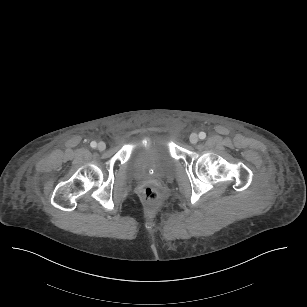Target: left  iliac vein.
I'll list each match as a JSON object with an SVG mask.
<instances>
[{
    "instance_id": "4c4485c4",
    "label": "left iliac vein",
    "mask_w": 307,
    "mask_h": 307,
    "mask_svg": "<svg viewBox=\"0 0 307 307\" xmlns=\"http://www.w3.org/2000/svg\"><path fill=\"white\" fill-rule=\"evenodd\" d=\"M189 139L192 144H196L199 140L197 134H192Z\"/></svg>"
}]
</instances>
